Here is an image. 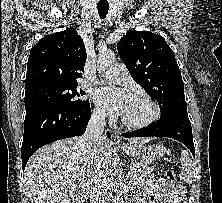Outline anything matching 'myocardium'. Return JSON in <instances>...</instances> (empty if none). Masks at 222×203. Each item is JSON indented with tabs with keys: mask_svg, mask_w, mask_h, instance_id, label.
I'll use <instances>...</instances> for the list:
<instances>
[{
	"mask_svg": "<svg viewBox=\"0 0 222 203\" xmlns=\"http://www.w3.org/2000/svg\"><path fill=\"white\" fill-rule=\"evenodd\" d=\"M130 96L144 99L151 106L153 113L147 120L142 122H131L122 117L121 121L124 126L132 129H142L152 125L160 118V107L148 94L143 92H134Z\"/></svg>",
	"mask_w": 222,
	"mask_h": 203,
	"instance_id": "f54148a6",
	"label": "myocardium"
}]
</instances>
